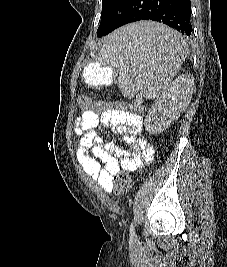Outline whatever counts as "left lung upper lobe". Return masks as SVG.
Instances as JSON below:
<instances>
[{
	"label": "left lung upper lobe",
	"mask_w": 227,
	"mask_h": 267,
	"mask_svg": "<svg viewBox=\"0 0 227 267\" xmlns=\"http://www.w3.org/2000/svg\"><path fill=\"white\" fill-rule=\"evenodd\" d=\"M127 2L128 0H102L100 27L115 18V16L118 14V11H122Z\"/></svg>",
	"instance_id": "obj_1"
}]
</instances>
